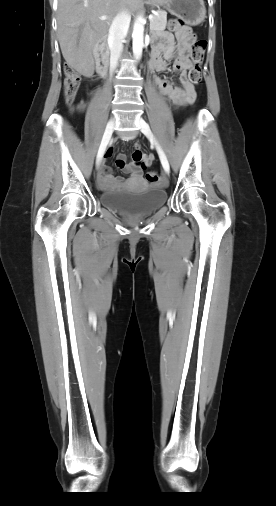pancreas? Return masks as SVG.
Here are the masks:
<instances>
[{"instance_id": "pancreas-1", "label": "pancreas", "mask_w": 276, "mask_h": 506, "mask_svg": "<svg viewBox=\"0 0 276 506\" xmlns=\"http://www.w3.org/2000/svg\"><path fill=\"white\" fill-rule=\"evenodd\" d=\"M167 24V13L165 11H158L157 15L153 16V20L150 21L151 32L163 31Z\"/></svg>"}]
</instances>
